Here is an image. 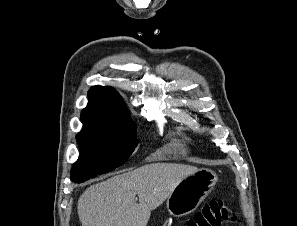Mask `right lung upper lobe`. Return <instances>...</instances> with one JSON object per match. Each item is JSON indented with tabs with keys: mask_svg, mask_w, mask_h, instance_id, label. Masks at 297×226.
I'll list each match as a JSON object with an SVG mask.
<instances>
[{
	"mask_svg": "<svg viewBox=\"0 0 297 226\" xmlns=\"http://www.w3.org/2000/svg\"><path fill=\"white\" fill-rule=\"evenodd\" d=\"M88 105L81 113L84 126L111 127L128 111L122 98L112 87L94 86L88 92Z\"/></svg>",
	"mask_w": 297,
	"mask_h": 226,
	"instance_id": "1",
	"label": "right lung upper lobe"
}]
</instances>
